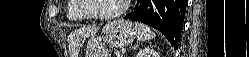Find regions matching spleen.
<instances>
[{
    "label": "spleen",
    "instance_id": "obj_1",
    "mask_svg": "<svg viewBox=\"0 0 249 57\" xmlns=\"http://www.w3.org/2000/svg\"><path fill=\"white\" fill-rule=\"evenodd\" d=\"M135 27L137 28L139 41L150 40L155 37V33L145 24L140 22H135Z\"/></svg>",
    "mask_w": 249,
    "mask_h": 57
}]
</instances>
